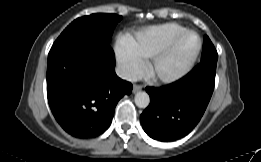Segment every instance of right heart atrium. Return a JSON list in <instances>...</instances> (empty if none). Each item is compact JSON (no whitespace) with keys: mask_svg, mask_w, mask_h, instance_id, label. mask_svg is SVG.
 I'll return each mask as SVG.
<instances>
[{"mask_svg":"<svg viewBox=\"0 0 261 162\" xmlns=\"http://www.w3.org/2000/svg\"><path fill=\"white\" fill-rule=\"evenodd\" d=\"M116 55L121 73L125 78L133 79L142 72L144 61L130 47L129 38L123 37L118 41Z\"/></svg>","mask_w":261,"mask_h":162,"instance_id":"d8ad5b80","label":"right heart atrium"}]
</instances>
